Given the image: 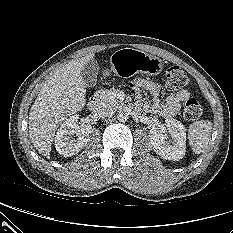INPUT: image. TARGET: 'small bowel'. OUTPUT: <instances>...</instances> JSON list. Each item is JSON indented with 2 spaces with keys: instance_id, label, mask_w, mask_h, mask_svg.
<instances>
[{
  "instance_id": "obj_1",
  "label": "small bowel",
  "mask_w": 233,
  "mask_h": 233,
  "mask_svg": "<svg viewBox=\"0 0 233 233\" xmlns=\"http://www.w3.org/2000/svg\"><path fill=\"white\" fill-rule=\"evenodd\" d=\"M136 90H145L152 97V103L145 100H138L136 106L139 110L151 112L166 118L173 117L180 108L182 102L186 101L190 93L188 90H179L165 100L160 97L161 86L158 83L148 80H137L132 85Z\"/></svg>"
}]
</instances>
